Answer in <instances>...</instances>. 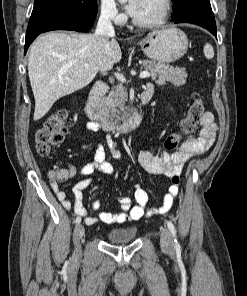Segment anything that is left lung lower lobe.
I'll return each instance as SVG.
<instances>
[{
  "mask_svg": "<svg viewBox=\"0 0 247 296\" xmlns=\"http://www.w3.org/2000/svg\"><path fill=\"white\" fill-rule=\"evenodd\" d=\"M174 23H192L206 28L217 37L215 18L209 0H195L183 11L172 15Z\"/></svg>",
  "mask_w": 247,
  "mask_h": 296,
  "instance_id": "left-lung-lower-lobe-1",
  "label": "left lung lower lobe"
}]
</instances>
